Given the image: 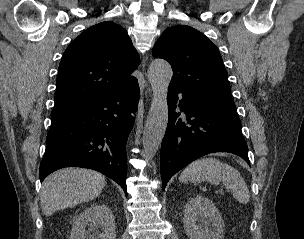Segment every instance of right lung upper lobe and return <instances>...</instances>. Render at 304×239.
Instances as JSON below:
<instances>
[{"label":"right lung upper lobe","mask_w":304,"mask_h":239,"mask_svg":"<svg viewBox=\"0 0 304 239\" xmlns=\"http://www.w3.org/2000/svg\"><path fill=\"white\" fill-rule=\"evenodd\" d=\"M138 54L120 25L106 21L81 33L59 65L51 116L75 110L135 79Z\"/></svg>","instance_id":"obj_1"}]
</instances>
